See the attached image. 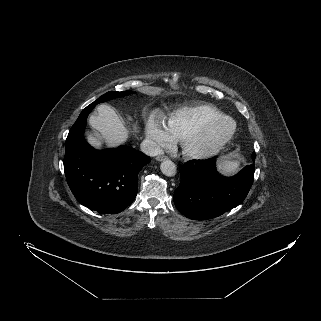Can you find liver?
<instances>
[{"label": "liver", "instance_id": "liver-1", "mask_svg": "<svg viewBox=\"0 0 321 321\" xmlns=\"http://www.w3.org/2000/svg\"><path fill=\"white\" fill-rule=\"evenodd\" d=\"M89 123L110 147L126 142L129 137L128 129L110 106L99 105L97 114L90 116ZM134 129L137 130V127L135 126ZM87 139L91 145L97 148L102 146L101 140L92 135H87Z\"/></svg>", "mask_w": 321, "mask_h": 321}]
</instances>
